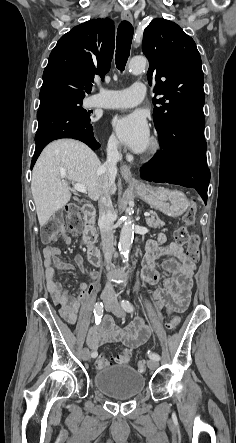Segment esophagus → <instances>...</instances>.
<instances>
[{
  "instance_id": "1",
  "label": "esophagus",
  "mask_w": 236,
  "mask_h": 443,
  "mask_svg": "<svg viewBox=\"0 0 236 443\" xmlns=\"http://www.w3.org/2000/svg\"><path fill=\"white\" fill-rule=\"evenodd\" d=\"M121 18L123 20L129 21V22H132V20H133L132 14L129 10H123L121 13ZM120 173H121L122 177L125 179V181H127L129 183H133V184H140V182L132 176L129 166H127L125 164H121Z\"/></svg>"
}]
</instances>
